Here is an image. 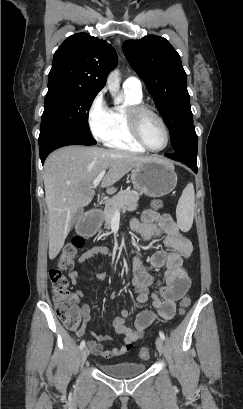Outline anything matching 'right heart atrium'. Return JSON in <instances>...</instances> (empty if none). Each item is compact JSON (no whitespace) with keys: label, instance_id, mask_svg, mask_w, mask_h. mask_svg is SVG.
Here are the masks:
<instances>
[{"label":"right heart atrium","instance_id":"d8ad5b80","mask_svg":"<svg viewBox=\"0 0 243 409\" xmlns=\"http://www.w3.org/2000/svg\"><path fill=\"white\" fill-rule=\"evenodd\" d=\"M87 122L92 135L105 141L113 134L116 124L112 109L107 105L104 91L98 92L87 110Z\"/></svg>","mask_w":243,"mask_h":409}]
</instances>
